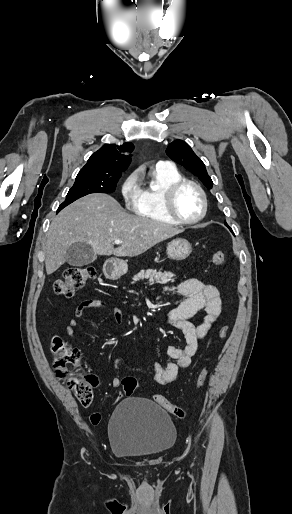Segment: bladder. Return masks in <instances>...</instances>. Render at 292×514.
<instances>
[{
	"label": "bladder",
	"instance_id": "obj_1",
	"mask_svg": "<svg viewBox=\"0 0 292 514\" xmlns=\"http://www.w3.org/2000/svg\"><path fill=\"white\" fill-rule=\"evenodd\" d=\"M112 452L119 458H149L167 452L177 439L169 414L154 402L128 398L119 402L109 421Z\"/></svg>",
	"mask_w": 292,
	"mask_h": 514
}]
</instances>
